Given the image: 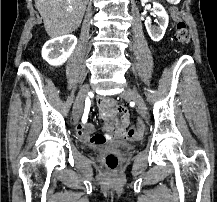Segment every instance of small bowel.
I'll return each instance as SVG.
<instances>
[{"label": "small bowel", "mask_w": 217, "mask_h": 202, "mask_svg": "<svg viewBox=\"0 0 217 202\" xmlns=\"http://www.w3.org/2000/svg\"><path fill=\"white\" fill-rule=\"evenodd\" d=\"M95 105L100 109L99 121L106 122V133L95 134L93 124L87 122L79 123L75 129V135L85 144H103L113 140L138 139L142 131H135L133 134L128 130L131 117L126 109H122L121 104L115 101H96ZM122 113L121 119L118 120L116 113Z\"/></svg>", "instance_id": "obj_1"}]
</instances>
